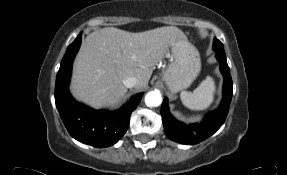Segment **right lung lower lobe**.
Returning a JSON list of instances; mask_svg holds the SVG:
<instances>
[{"label":"right lung lower lobe","mask_w":287,"mask_h":175,"mask_svg":"<svg viewBox=\"0 0 287 175\" xmlns=\"http://www.w3.org/2000/svg\"><path fill=\"white\" fill-rule=\"evenodd\" d=\"M81 43V34L68 46L56 77L55 102L69 134L81 143L103 148L115 144L126 133L130 115L143 93L133 96L115 112L94 110L78 103L69 93L72 63Z\"/></svg>","instance_id":"right-lung-lower-lobe-1"}]
</instances>
